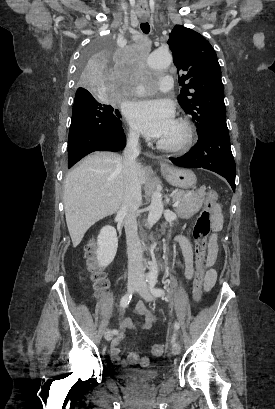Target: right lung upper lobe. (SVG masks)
I'll return each instance as SVG.
<instances>
[{
    "mask_svg": "<svg viewBox=\"0 0 275 409\" xmlns=\"http://www.w3.org/2000/svg\"><path fill=\"white\" fill-rule=\"evenodd\" d=\"M77 91H78V92H84V91H87V90H78V89H77Z\"/></svg>",
    "mask_w": 275,
    "mask_h": 409,
    "instance_id": "obj_1",
    "label": "right lung upper lobe"
}]
</instances>
